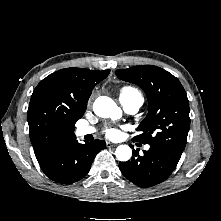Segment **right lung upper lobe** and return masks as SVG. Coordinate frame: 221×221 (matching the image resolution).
<instances>
[{"instance_id": "cb5924a9", "label": "right lung upper lobe", "mask_w": 221, "mask_h": 221, "mask_svg": "<svg viewBox=\"0 0 221 221\" xmlns=\"http://www.w3.org/2000/svg\"><path fill=\"white\" fill-rule=\"evenodd\" d=\"M110 70L61 69L33 91L27 117L30 140L39 161L76 138L75 123L83 116L93 88Z\"/></svg>"}]
</instances>
